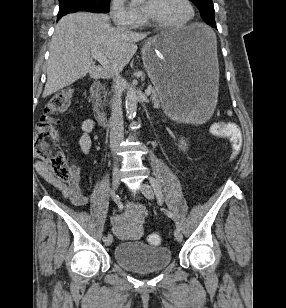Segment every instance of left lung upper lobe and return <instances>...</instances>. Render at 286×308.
<instances>
[{"label":"left lung upper lobe","instance_id":"1","mask_svg":"<svg viewBox=\"0 0 286 308\" xmlns=\"http://www.w3.org/2000/svg\"><path fill=\"white\" fill-rule=\"evenodd\" d=\"M199 9L203 20L206 23L215 21V11L212 0H190Z\"/></svg>","mask_w":286,"mask_h":308}]
</instances>
